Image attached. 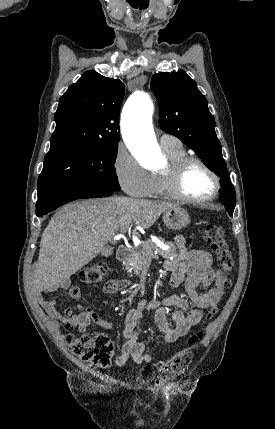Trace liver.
I'll return each mask as SVG.
<instances>
[{"instance_id": "obj_1", "label": "liver", "mask_w": 275, "mask_h": 429, "mask_svg": "<svg viewBox=\"0 0 275 429\" xmlns=\"http://www.w3.org/2000/svg\"><path fill=\"white\" fill-rule=\"evenodd\" d=\"M178 204L122 196L67 204L55 212L45 228L34 284L53 291L93 260L109 242L133 223L148 229L162 213Z\"/></svg>"}]
</instances>
